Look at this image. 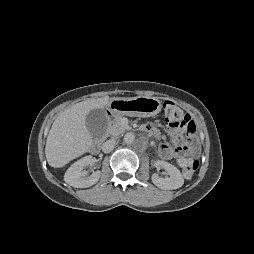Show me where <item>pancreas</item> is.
I'll return each mask as SVG.
<instances>
[{
    "label": "pancreas",
    "mask_w": 254,
    "mask_h": 254,
    "mask_svg": "<svg viewBox=\"0 0 254 254\" xmlns=\"http://www.w3.org/2000/svg\"><path fill=\"white\" fill-rule=\"evenodd\" d=\"M127 129H128V126L123 124L122 117H117L113 121L112 125L110 126L109 134H111L113 136H117V135L123 133Z\"/></svg>",
    "instance_id": "obj_1"
}]
</instances>
